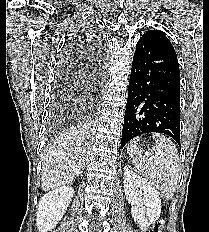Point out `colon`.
Masks as SVG:
<instances>
[{"label":"colon","mask_w":209,"mask_h":232,"mask_svg":"<svg viewBox=\"0 0 209 232\" xmlns=\"http://www.w3.org/2000/svg\"><path fill=\"white\" fill-rule=\"evenodd\" d=\"M160 225H162V223H160ZM154 232H160V231H158V229H155V231Z\"/></svg>","instance_id":"1"}]
</instances>
